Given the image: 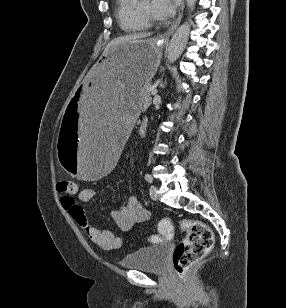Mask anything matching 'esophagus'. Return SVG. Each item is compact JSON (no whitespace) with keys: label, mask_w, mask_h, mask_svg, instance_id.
Wrapping results in <instances>:
<instances>
[{"label":"esophagus","mask_w":286,"mask_h":308,"mask_svg":"<svg viewBox=\"0 0 286 308\" xmlns=\"http://www.w3.org/2000/svg\"><path fill=\"white\" fill-rule=\"evenodd\" d=\"M184 7H185L184 0H182L180 8H179V11H178V17H177L176 21L172 24V26L164 34H162L160 36V38L163 41L168 40L170 35L173 34V32L176 30V28L180 24L182 16H183Z\"/></svg>","instance_id":"34e87169"}]
</instances>
